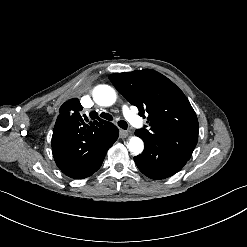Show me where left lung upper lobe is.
Returning <instances> with one entry per match:
<instances>
[{
  "label": "left lung upper lobe",
  "mask_w": 247,
  "mask_h": 247,
  "mask_svg": "<svg viewBox=\"0 0 247 247\" xmlns=\"http://www.w3.org/2000/svg\"><path fill=\"white\" fill-rule=\"evenodd\" d=\"M116 89L139 114L148 113L150 130H136L142 138L190 159L198 140L197 116L184 93L164 75L144 69L109 76Z\"/></svg>",
  "instance_id": "obj_1"
}]
</instances>
